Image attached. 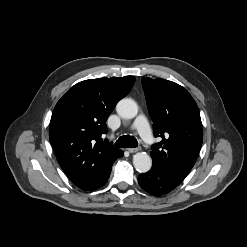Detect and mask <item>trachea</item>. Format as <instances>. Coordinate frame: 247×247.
<instances>
[{
  "label": "trachea",
  "mask_w": 247,
  "mask_h": 247,
  "mask_svg": "<svg viewBox=\"0 0 247 247\" xmlns=\"http://www.w3.org/2000/svg\"><path fill=\"white\" fill-rule=\"evenodd\" d=\"M116 147L121 148H136L138 146V142L133 136H121L115 143Z\"/></svg>",
  "instance_id": "1"
}]
</instances>
